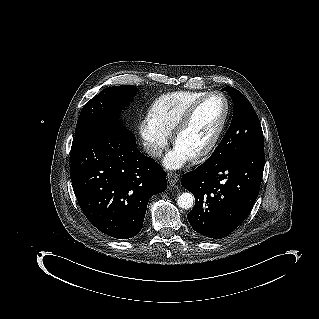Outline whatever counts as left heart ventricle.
<instances>
[{"label":"left heart ventricle","instance_id":"1","mask_svg":"<svg viewBox=\"0 0 319 319\" xmlns=\"http://www.w3.org/2000/svg\"><path fill=\"white\" fill-rule=\"evenodd\" d=\"M224 111V103L218 97L202 102L181 130L178 144L192 152L202 148L212 137Z\"/></svg>","mask_w":319,"mask_h":319}]
</instances>
